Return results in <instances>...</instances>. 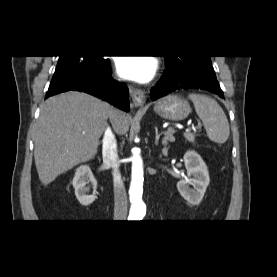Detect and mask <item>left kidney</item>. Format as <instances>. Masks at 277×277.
Returning <instances> with one entry per match:
<instances>
[{
  "label": "left kidney",
  "mask_w": 277,
  "mask_h": 277,
  "mask_svg": "<svg viewBox=\"0 0 277 277\" xmlns=\"http://www.w3.org/2000/svg\"><path fill=\"white\" fill-rule=\"evenodd\" d=\"M184 164L188 177L177 183V189L186 201L197 205L203 199L210 183L208 168L201 156L193 150L184 154ZM190 184L194 189L189 187Z\"/></svg>",
  "instance_id": "obj_1"
}]
</instances>
